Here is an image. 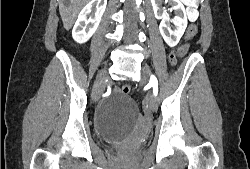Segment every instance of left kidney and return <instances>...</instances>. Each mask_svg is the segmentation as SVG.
Instances as JSON below:
<instances>
[{
    "label": "left kidney",
    "mask_w": 250,
    "mask_h": 169,
    "mask_svg": "<svg viewBox=\"0 0 250 169\" xmlns=\"http://www.w3.org/2000/svg\"><path fill=\"white\" fill-rule=\"evenodd\" d=\"M151 2L155 18H162L159 24V30L165 42H167L169 46H175V44L179 42L182 34H184L187 26L186 10L181 0H167V2L172 4L171 8L176 12L174 18H169V16H167L166 10L161 6L162 0H151ZM170 22L175 24L174 30H171Z\"/></svg>",
    "instance_id": "obj_1"
}]
</instances>
